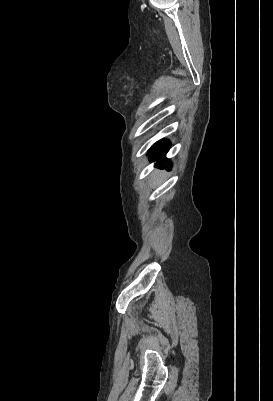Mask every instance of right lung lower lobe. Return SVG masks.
<instances>
[{"mask_svg":"<svg viewBox=\"0 0 273 401\" xmlns=\"http://www.w3.org/2000/svg\"><path fill=\"white\" fill-rule=\"evenodd\" d=\"M170 148V142L167 140H160L156 142L154 145H152L151 149L148 152L149 155V160L154 161V160H159L160 162L157 163V166L159 168H166L167 170H170L171 163L169 159L164 157V155L168 152ZM166 163H168L166 165Z\"/></svg>","mask_w":273,"mask_h":401,"instance_id":"obj_1","label":"right lung lower lobe"}]
</instances>
